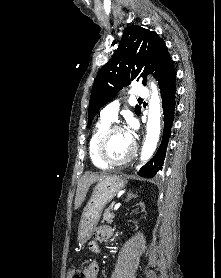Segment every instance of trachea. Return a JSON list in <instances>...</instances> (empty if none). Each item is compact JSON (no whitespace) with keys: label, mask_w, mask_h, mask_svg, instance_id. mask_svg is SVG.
<instances>
[{"label":"trachea","mask_w":221,"mask_h":278,"mask_svg":"<svg viewBox=\"0 0 221 278\" xmlns=\"http://www.w3.org/2000/svg\"><path fill=\"white\" fill-rule=\"evenodd\" d=\"M138 101H143V100L139 98Z\"/></svg>","instance_id":"1"}]
</instances>
